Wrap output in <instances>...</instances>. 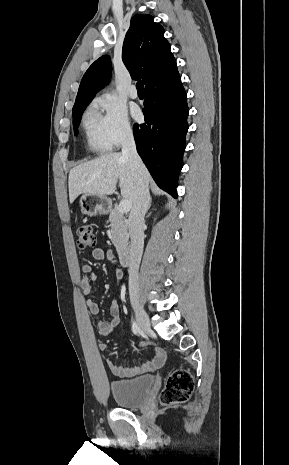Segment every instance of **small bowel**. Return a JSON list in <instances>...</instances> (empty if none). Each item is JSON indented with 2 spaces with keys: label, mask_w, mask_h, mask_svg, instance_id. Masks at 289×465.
Instances as JSON below:
<instances>
[{
  "label": "small bowel",
  "mask_w": 289,
  "mask_h": 465,
  "mask_svg": "<svg viewBox=\"0 0 289 465\" xmlns=\"http://www.w3.org/2000/svg\"><path fill=\"white\" fill-rule=\"evenodd\" d=\"M92 255L96 260L107 259L112 264L117 263L116 256L113 250L110 249L104 251L101 248H95L92 252ZM81 270L84 276L79 280V285L82 288L85 295H90L93 292V285L97 281V275L94 272H92V268L89 264L82 265ZM116 275L119 283L121 284L125 277L124 273L121 270H117ZM87 307L91 314H93L97 319L98 333L102 336L109 335L112 332V330L117 326L120 318L117 300L113 299L111 302L109 309V319L107 321L102 320L100 318V309L97 302H95L92 299H88ZM98 347L101 352L107 351V344L105 343L99 344ZM164 361V352L161 349L156 348L153 351L151 358L140 366H121L113 363L111 360H107V365L111 372L118 377H133L160 368L163 365Z\"/></svg>",
  "instance_id": "obj_1"
}]
</instances>
